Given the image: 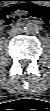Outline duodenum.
<instances>
[{
	"instance_id": "duodenum-1",
	"label": "duodenum",
	"mask_w": 50,
	"mask_h": 111,
	"mask_svg": "<svg viewBox=\"0 0 50 111\" xmlns=\"http://www.w3.org/2000/svg\"><path fill=\"white\" fill-rule=\"evenodd\" d=\"M18 26L20 27V26H22V24H21V23H19V24H18Z\"/></svg>"
}]
</instances>
